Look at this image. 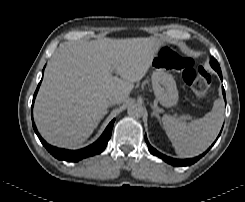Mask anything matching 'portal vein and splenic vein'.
I'll return each mask as SVG.
<instances>
[{
	"instance_id": "18ae733b",
	"label": "portal vein and splenic vein",
	"mask_w": 245,
	"mask_h": 202,
	"mask_svg": "<svg viewBox=\"0 0 245 202\" xmlns=\"http://www.w3.org/2000/svg\"><path fill=\"white\" fill-rule=\"evenodd\" d=\"M184 118H185V119H190V117H187V116H186V117H184Z\"/></svg>"
}]
</instances>
